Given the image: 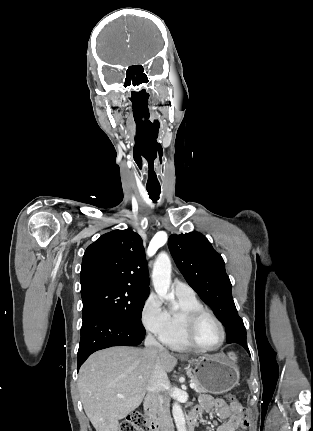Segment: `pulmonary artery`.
<instances>
[{
	"instance_id": "1",
	"label": "pulmonary artery",
	"mask_w": 313,
	"mask_h": 431,
	"mask_svg": "<svg viewBox=\"0 0 313 431\" xmlns=\"http://www.w3.org/2000/svg\"><path fill=\"white\" fill-rule=\"evenodd\" d=\"M173 290L175 291V293L177 295H183V296H192L195 295L194 290L186 283L180 281V280H175L173 282Z\"/></svg>"
}]
</instances>
